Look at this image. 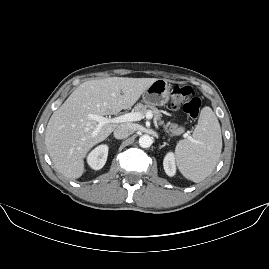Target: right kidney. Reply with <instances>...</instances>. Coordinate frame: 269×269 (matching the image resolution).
I'll return each instance as SVG.
<instances>
[{"label":"right kidney","mask_w":269,"mask_h":269,"mask_svg":"<svg viewBox=\"0 0 269 269\" xmlns=\"http://www.w3.org/2000/svg\"><path fill=\"white\" fill-rule=\"evenodd\" d=\"M108 150L109 148L107 145L97 146L89 153L87 157L88 165L94 170L101 169L107 161Z\"/></svg>","instance_id":"right-kidney-1"}]
</instances>
